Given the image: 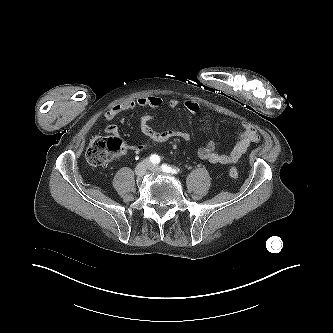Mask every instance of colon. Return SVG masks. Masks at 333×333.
I'll use <instances>...</instances> for the list:
<instances>
[{
  "instance_id": "5ec220e1",
  "label": "colon",
  "mask_w": 333,
  "mask_h": 333,
  "mask_svg": "<svg viewBox=\"0 0 333 333\" xmlns=\"http://www.w3.org/2000/svg\"><path fill=\"white\" fill-rule=\"evenodd\" d=\"M125 151L123 142L116 136H97L93 138L86 150V159L93 166H103L121 156ZM239 173L232 166L228 172L230 179H237Z\"/></svg>"
}]
</instances>
